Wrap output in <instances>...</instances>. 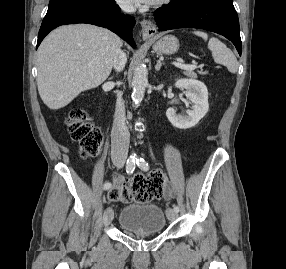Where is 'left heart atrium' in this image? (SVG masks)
<instances>
[{
    "label": "left heart atrium",
    "instance_id": "left-heart-atrium-1",
    "mask_svg": "<svg viewBox=\"0 0 286 269\" xmlns=\"http://www.w3.org/2000/svg\"><path fill=\"white\" fill-rule=\"evenodd\" d=\"M127 3L135 4V5H152L157 0H125Z\"/></svg>",
    "mask_w": 286,
    "mask_h": 269
}]
</instances>
